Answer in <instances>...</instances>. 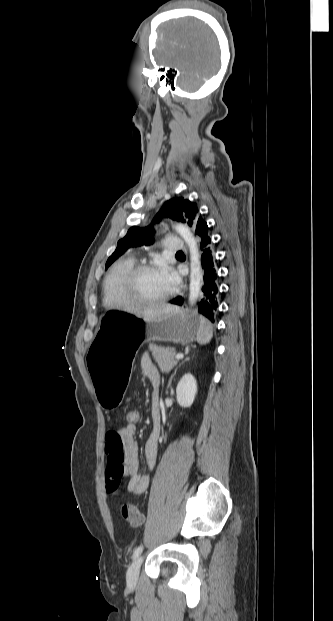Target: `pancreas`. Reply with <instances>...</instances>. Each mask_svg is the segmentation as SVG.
<instances>
[{"instance_id":"1","label":"pancreas","mask_w":333,"mask_h":621,"mask_svg":"<svg viewBox=\"0 0 333 621\" xmlns=\"http://www.w3.org/2000/svg\"><path fill=\"white\" fill-rule=\"evenodd\" d=\"M149 350L162 372H169L177 365V360L174 358L177 355L175 348L151 345Z\"/></svg>"}]
</instances>
